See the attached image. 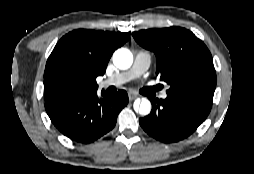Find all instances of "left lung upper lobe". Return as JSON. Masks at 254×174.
I'll use <instances>...</instances> for the list:
<instances>
[{
  "mask_svg": "<svg viewBox=\"0 0 254 174\" xmlns=\"http://www.w3.org/2000/svg\"><path fill=\"white\" fill-rule=\"evenodd\" d=\"M136 42L157 58L156 74L170 88L168 96L194 97L212 104L216 72L211 53L191 31L181 27L132 33Z\"/></svg>",
  "mask_w": 254,
  "mask_h": 174,
  "instance_id": "left-lung-upper-lobe-1",
  "label": "left lung upper lobe"
}]
</instances>
